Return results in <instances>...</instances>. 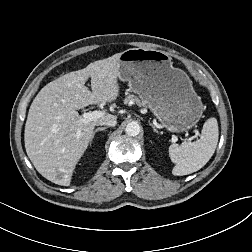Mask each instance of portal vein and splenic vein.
<instances>
[{
    "label": "portal vein and splenic vein",
    "instance_id": "1",
    "mask_svg": "<svg viewBox=\"0 0 252 252\" xmlns=\"http://www.w3.org/2000/svg\"><path fill=\"white\" fill-rule=\"evenodd\" d=\"M103 116L102 111H93V112H85L83 113V117L81 119L82 122H90L96 120Z\"/></svg>",
    "mask_w": 252,
    "mask_h": 252
}]
</instances>
